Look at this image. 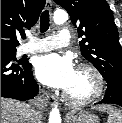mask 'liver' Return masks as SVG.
<instances>
[{
	"instance_id": "obj_1",
	"label": "liver",
	"mask_w": 122,
	"mask_h": 123,
	"mask_svg": "<svg viewBox=\"0 0 122 123\" xmlns=\"http://www.w3.org/2000/svg\"><path fill=\"white\" fill-rule=\"evenodd\" d=\"M36 113L27 103L1 98V123H39Z\"/></svg>"
}]
</instances>
